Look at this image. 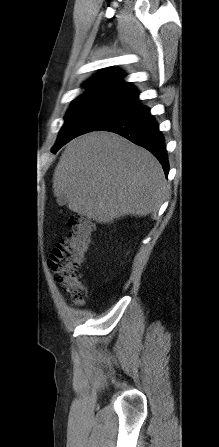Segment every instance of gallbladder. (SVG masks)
Returning a JSON list of instances; mask_svg holds the SVG:
<instances>
[{"instance_id": "obj_1", "label": "gallbladder", "mask_w": 219, "mask_h": 447, "mask_svg": "<svg viewBox=\"0 0 219 447\" xmlns=\"http://www.w3.org/2000/svg\"><path fill=\"white\" fill-rule=\"evenodd\" d=\"M58 204L61 205V206H63V205L66 204V202H65V200L61 199V200L58 202Z\"/></svg>"}]
</instances>
